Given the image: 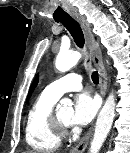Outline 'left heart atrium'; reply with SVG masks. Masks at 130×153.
I'll list each match as a JSON object with an SVG mask.
<instances>
[{
    "label": "left heart atrium",
    "instance_id": "39dd6f15",
    "mask_svg": "<svg viewBox=\"0 0 130 153\" xmlns=\"http://www.w3.org/2000/svg\"><path fill=\"white\" fill-rule=\"evenodd\" d=\"M99 107L100 101L97 96L89 92L78 94L74 101V108L69 123L88 124L97 114Z\"/></svg>",
    "mask_w": 130,
    "mask_h": 153
}]
</instances>
